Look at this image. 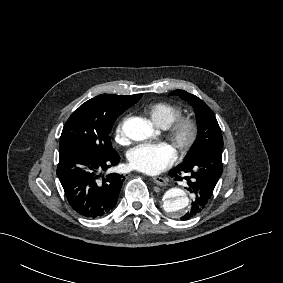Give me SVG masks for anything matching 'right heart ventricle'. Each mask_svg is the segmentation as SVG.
<instances>
[{"label": "right heart ventricle", "instance_id": "right-heart-ventricle-1", "mask_svg": "<svg viewBox=\"0 0 283 283\" xmlns=\"http://www.w3.org/2000/svg\"><path fill=\"white\" fill-rule=\"evenodd\" d=\"M151 120L161 128H168L175 120L181 117V106L169 101H157L152 103L147 110Z\"/></svg>", "mask_w": 283, "mask_h": 283}]
</instances>
